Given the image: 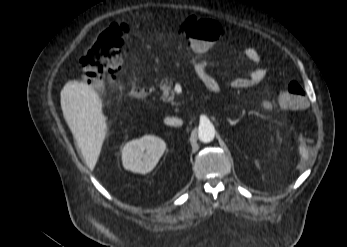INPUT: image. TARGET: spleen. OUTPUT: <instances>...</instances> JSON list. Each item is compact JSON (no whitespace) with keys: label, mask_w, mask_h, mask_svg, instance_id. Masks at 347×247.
Masks as SVG:
<instances>
[{"label":"spleen","mask_w":347,"mask_h":247,"mask_svg":"<svg viewBox=\"0 0 347 247\" xmlns=\"http://www.w3.org/2000/svg\"><path fill=\"white\" fill-rule=\"evenodd\" d=\"M300 151L303 158H306L308 156V150L304 145L300 146Z\"/></svg>","instance_id":"spleen-1"}]
</instances>
